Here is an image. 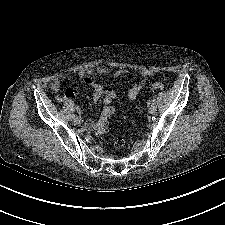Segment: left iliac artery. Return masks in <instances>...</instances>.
<instances>
[{"mask_svg":"<svg viewBox=\"0 0 225 225\" xmlns=\"http://www.w3.org/2000/svg\"><path fill=\"white\" fill-rule=\"evenodd\" d=\"M152 104H156V99H153L152 100Z\"/></svg>","mask_w":225,"mask_h":225,"instance_id":"obj_1","label":"left iliac artery"}]
</instances>
